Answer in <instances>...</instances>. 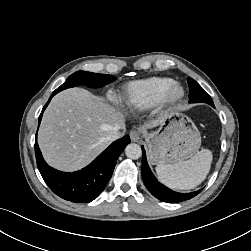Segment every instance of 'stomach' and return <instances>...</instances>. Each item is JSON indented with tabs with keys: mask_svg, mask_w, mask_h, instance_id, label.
Returning <instances> with one entry per match:
<instances>
[{
	"mask_svg": "<svg viewBox=\"0 0 251 251\" xmlns=\"http://www.w3.org/2000/svg\"><path fill=\"white\" fill-rule=\"evenodd\" d=\"M149 159L153 164H175L191 158L200 148L201 136L190 119L172 113L163 119L159 128L145 133Z\"/></svg>",
	"mask_w": 251,
	"mask_h": 251,
	"instance_id": "stomach-1",
	"label": "stomach"
}]
</instances>
